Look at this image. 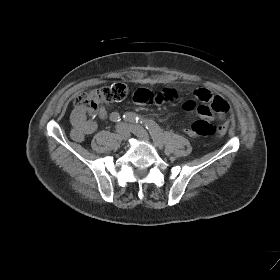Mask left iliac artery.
Here are the masks:
<instances>
[{"instance_id":"1","label":"left iliac artery","mask_w":280,"mask_h":280,"mask_svg":"<svg viewBox=\"0 0 280 280\" xmlns=\"http://www.w3.org/2000/svg\"><path fill=\"white\" fill-rule=\"evenodd\" d=\"M125 121L136 122L145 126V128L150 132L152 138L157 142L163 141V133L158 124L153 120H149L141 117L135 113L129 112L123 115Z\"/></svg>"}]
</instances>
